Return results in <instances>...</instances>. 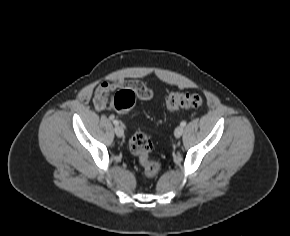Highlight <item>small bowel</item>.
I'll return each instance as SVG.
<instances>
[{"label":"small bowel","instance_id":"obj_1","mask_svg":"<svg viewBox=\"0 0 290 236\" xmlns=\"http://www.w3.org/2000/svg\"><path fill=\"white\" fill-rule=\"evenodd\" d=\"M124 86L134 89L137 93V96L142 100H150L152 97L151 90L143 81L132 80L119 83L103 82L99 84L94 91L93 101L96 110H105L109 106L110 99L116 89Z\"/></svg>","mask_w":290,"mask_h":236}]
</instances>
